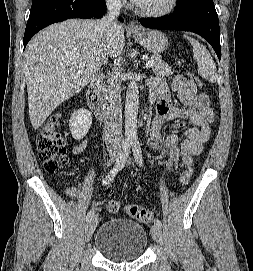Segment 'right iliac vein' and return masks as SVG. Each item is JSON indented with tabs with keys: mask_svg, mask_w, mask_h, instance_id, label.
I'll use <instances>...</instances> for the list:
<instances>
[{
	"mask_svg": "<svg viewBox=\"0 0 253 271\" xmlns=\"http://www.w3.org/2000/svg\"><path fill=\"white\" fill-rule=\"evenodd\" d=\"M110 158L112 162L117 161V159L119 158V152L118 151H113L110 153ZM98 223V217L97 215H94L86 224L85 226V239L86 241H89L90 238L92 237L95 228L97 226Z\"/></svg>",
	"mask_w": 253,
	"mask_h": 271,
	"instance_id": "1",
	"label": "right iliac vein"
}]
</instances>
